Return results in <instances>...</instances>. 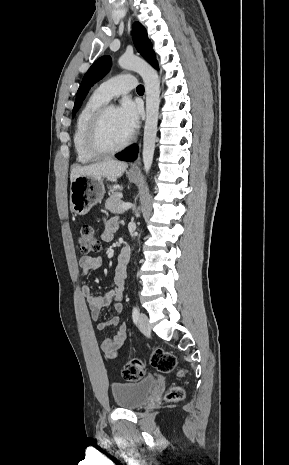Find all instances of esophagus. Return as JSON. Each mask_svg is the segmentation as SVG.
Segmentation results:
<instances>
[{
    "label": "esophagus",
    "instance_id": "esophagus-1",
    "mask_svg": "<svg viewBox=\"0 0 289 465\" xmlns=\"http://www.w3.org/2000/svg\"><path fill=\"white\" fill-rule=\"evenodd\" d=\"M140 146V144H139ZM139 156L136 158V160L131 164L130 170L131 171H138L139 170Z\"/></svg>",
    "mask_w": 289,
    "mask_h": 465
}]
</instances>
